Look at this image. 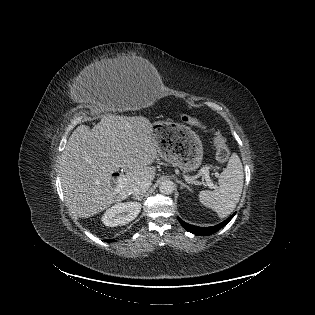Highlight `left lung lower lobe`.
<instances>
[{"instance_id": "1", "label": "left lung lower lobe", "mask_w": 315, "mask_h": 315, "mask_svg": "<svg viewBox=\"0 0 315 315\" xmlns=\"http://www.w3.org/2000/svg\"><path fill=\"white\" fill-rule=\"evenodd\" d=\"M234 215H235V213L232 216H230L229 218H227L225 221L221 222L220 224H217V225L211 226V227H198V226L190 225V224L182 221L179 217H177V219L187 231H189L193 234H196V235H200V236H208V235H211V234L217 232L219 229H221L222 227L227 225L228 222L234 217Z\"/></svg>"}]
</instances>
